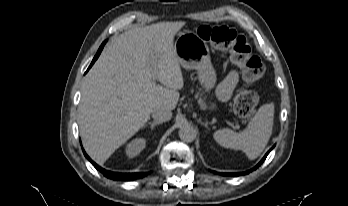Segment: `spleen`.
Returning a JSON list of instances; mask_svg holds the SVG:
<instances>
[{
	"label": "spleen",
	"mask_w": 348,
	"mask_h": 206,
	"mask_svg": "<svg viewBox=\"0 0 348 206\" xmlns=\"http://www.w3.org/2000/svg\"><path fill=\"white\" fill-rule=\"evenodd\" d=\"M274 106H261L248 126L240 133L224 128L213 137L224 148L242 150L250 160L256 159L265 149L273 129Z\"/></svg>",
	"instance_id": "spleen-1"
}]
</instances>
